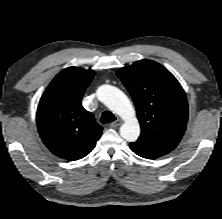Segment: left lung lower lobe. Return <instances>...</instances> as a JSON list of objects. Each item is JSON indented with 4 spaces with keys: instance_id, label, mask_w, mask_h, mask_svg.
I'll return each instance as SVG.
<instances>
[{
    "instance_id": "obj_1",
    "label": "left lung lower lobe",
    "mask_w": 222,
    "mask_h": 219,
    "mask_svg": "<svg viewBox=\"0 0 222 219\" xmlns=\"http://www.w3.org/2000/svg\"><path fill=\"white\" fill-rule=\"evenodd\" d=\"M130 148L137 155L147 159L158 158L172 151L166 147L156 146L142 141L130 143Z\"/></svg>"
}]
</instances>
